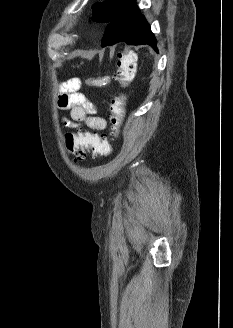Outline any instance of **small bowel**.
<instances>
[{
    "instance_id": "1",
    "label": "small bowel",
    "mask_w": 233,
    "mask_h": 328,
    "mask_svg": "<svg viewBox=\"0 0 233 328\" xmlns=\"http://www.w3.org/2000/svg\"><path fill=\"white\" fill-rule=\"evenodd\" d=\"M80 87L81 82L78 78H72L61 86L58 106L62 109H70L72 119V121L65 119V125L69 127L85 125L97 131L106 129V120L96 115V105L79 92Z\"/></svg>"
}]
</instances>
